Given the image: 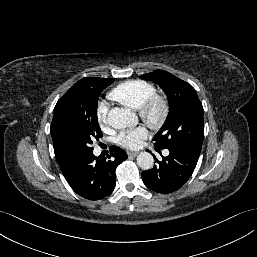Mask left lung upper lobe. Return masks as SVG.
Segmentation results:
<instances>
[{"instance_id": "obj_1", "label": "left lung upper lobe", "mask_w": 257, "mask_h": 257, "mask_svg": "<svg viewBox=\"0 0 257 257\" xmlns=\"http://www.w3.org/2000/svg\"><path fill=\"white\" fill-rule=\"evenodd\" d=\"M157 83L166 93L169 114L154 136V146L170 147L200 154L204 138L203 106L195 89L169 72L156 70L140 77Z\"/></svg>"}]
</instances>
